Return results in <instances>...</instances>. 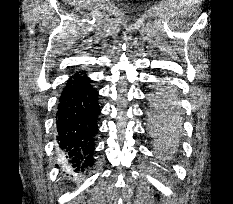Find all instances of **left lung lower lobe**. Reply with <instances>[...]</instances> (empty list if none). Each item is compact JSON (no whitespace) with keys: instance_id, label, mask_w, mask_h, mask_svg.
I'll list each match as a JSON object with an SVG mask.
<instances>
[{"instance_id":"1","label":"left lung lower lobe","mask_w":233,"mask_h":204,"mask_svg":"<svg viewBox=\"0 0 233 204\" xmlns=\"http://www.w3.org/2000/svg\"><path fill=\"white\" fill-rule=\"evenodd\" d=\"M159 105V108H161V109H163V108H165V104H163L162 102H159L158 103ZM158 119V118H157ZM160 120V119H159ZM160 121H163L165 124H168V125H170V126H173L171 123H169V122H167V121H164V120H160Z\"/></svg>"}]
</instances>
